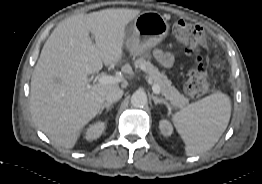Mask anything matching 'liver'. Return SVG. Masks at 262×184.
Returning <instances> with one entry per match:
<instances>
[{
  "mask_svg": "<svg viewBox=\"0 0 262 184\" xmlns=\"http://www.w3.org/2000/svg\"><path fill=\"white\" fill-rule=\"evenodd\" d=\"M139 14L118 8L74 15L60 22L45 42L31 78L30 112L55 144L73 148L107 92L119 87L90 85L88 75L122 60L125 27Z\"/></svg>",
  "mask_w": 262,
  "mask_h": 184,
  "instance_id": "obj_1",
  "label": "liver"
}]
</instances>
